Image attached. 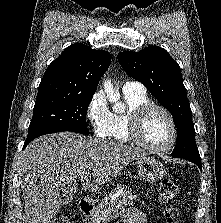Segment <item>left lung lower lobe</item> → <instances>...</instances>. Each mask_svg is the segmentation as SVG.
I'll return each mask as SVG.
<instances>
[{
    "label": "left lung lower lobe",
    "instance_id": "obj_1",
    "mask_svg": "<svg viewBox=\"0 0 221 223\" xmlns=\"http://www.w3.org/2000/svg\"><path fill=\"white\" fill-rule=\"evenodd\" d=\"M183 159H187L193 163H195L201 170H202V165H201V158H191V157H186Z\"/></svg>",
    "mask_w": 221,
    "mask_h": 223
}]
</instances>
